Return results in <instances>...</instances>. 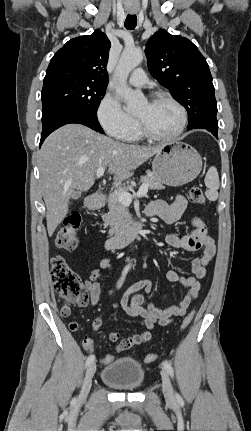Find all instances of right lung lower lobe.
Returning a JSON list of instances; mask_svg holds the SVG:
<instances>
[{
	"label": "right lung lower lobe",
	"instance_id": "obj_1",
	"mask_svg": "<svg viewBox=\"0 0 251 431\" xmlns=\"http://www.w3.org/2000/svg\"><path fill=\"white\" fill-rule=\"evenodd\" d=\"M70 123L82 124L99 133H104L97 120V117H92L70 109H60L46 116H42L43 130L41 134L40 146L50 133L61 126Z\"/></svg>",
	"mask_w": 251,
	"mask_h": 431
}]
</instances>
